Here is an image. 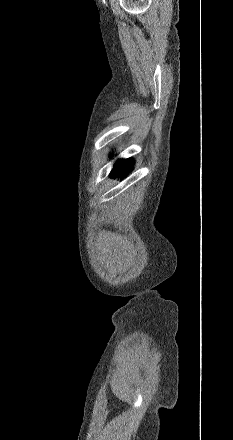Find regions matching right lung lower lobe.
Masks as SVG:
<instances>
[{"instance_id": "1", "label": "right lung lower lobe", "mask_w": 233, "mask_h": 440, "mask_svg": "<svg viewBox=\"0 0 233 440\" xmlns=\"http://www.w3.org/2000/svg\"><path fill=\"white\" fill-rule=\"evenodd\" d=\"M133 165H134V162L131 159L119 160L115 164V166H114V168H113V170L111 172V175L113 177H115V176H117L119 174L120 175L122 174L123 176H126L128 174V172L132 169Z\"/></svg>"}]
</instances>
